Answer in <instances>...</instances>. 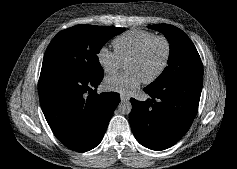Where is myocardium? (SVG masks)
<instances>
[{
  "label": "myocardium",
  "instance_id": "f54148a6",
  "mask_svg": "<svg viewBox=\"0 0 237 169\" xmlns=\"http://www.w3.org/2000/svg\"><path fill=\"white\" fill-rule=\"evenodd\" d=\"M155 40H162L165 44L166 47V52H165V56L163 59V62L160 66V68L149 78L143 80L142 82L144 84H150L155 82L157 79H159L161 77V75L165 72L168 64H169V60H170V56H171V43L169 41V39L164 36V35H154L151 38H149L148 40H146L140 47L139 49L134 52L126 61V63L130 60H135L140 58L144 52L146 51V49L148 48V46Z\"/></svg>",
  "mask_w": 237,
  "mask_h": 169
}]
</instances>
